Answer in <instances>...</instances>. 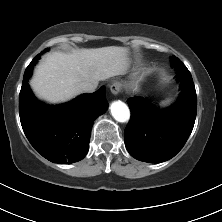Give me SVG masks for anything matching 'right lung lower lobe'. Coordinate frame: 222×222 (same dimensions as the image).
<instances>
[{
    "mask_svg": "<svg viewBox=\"0 0 222 222\" xmlns=\"http://www.w3.org/2000/svg\"><path fill=\"white\" fill-rule=\"evenodd\" d=\"M28 79L24 73L19 115L31 145L54 163L69 164L83 159L89 149L93 121L108 107L105 87L83 94L69 103L51 107L33 96Z\"/></svg>",
    "mask_w": 222,
    "mask_h": 222,
    "instance_id": "right-lung-lower-lobe-1",
    "label": "right lung lower lobe"
}]
</instances>
